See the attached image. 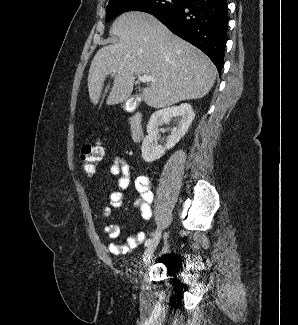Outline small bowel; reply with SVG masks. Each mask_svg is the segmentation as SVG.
I'll return each mask as SVG.
<instances>
[{"mask_svg": "<svg viewBox=\"0 0 298 325\" xmlns=\"http://www.w3.org/2000/svg\"><path fill=\"white\" fill-rule=\"evenodd\" d=\"M107 170L111 176H120V178L118 180V189L110 194V205L103 207L101 211L103 217H109L112 209L122 206L123 199L127 195L131 183V175L135 173L136 166L127 161L122 154L115 153L112 156L111 164L107 166ZM135 186L140 197L135 200L134 207L139 209L142 218L148 221L152 217V204L154 201L152 184L147 176L139 175L135 178ZM103 230L113 240L108 245V250L114 255L126 254L138 247L145 239V233L138 232L130 234L124 241L117 240L120 229L116 225H106Z\"/></svg>", "mask_w": 298, "mask_h": 325, "instance_id": "c3829d8e", "label": "small bowel"}]
</instances>
